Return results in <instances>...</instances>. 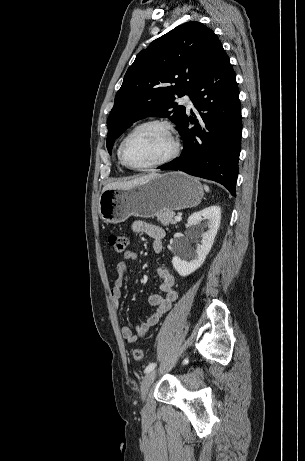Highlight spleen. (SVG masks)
I'll return each instance as SVG.
<instances>
[{"label": "spleen", "mask_w": 305, "mask_h": 461, "mask_svg": "<svg viewBox=\"0 0 305 461\" xmlns=\"http://www.w3.org/2000/svg\"><path fill=\"white\" fill-rule=\"evenodd\" d=\"M204 190H205L206 192H209V187H208L207 185H204Z\"/></svg>", "instance_id": "obj_1"}]
</instances>
